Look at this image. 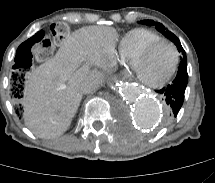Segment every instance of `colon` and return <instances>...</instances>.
<instances>
[{"mask_svg":"<svg viewBox=\"0 0 215 183\" xmlns=\"http://www.w3.org/2000/svg\"><path fill=\"white\" fill-rule=\"evenodd\" d=\"M69 36V26L64 22L54 23L51 27V36H47L42 29L33 32L32 38L23 43L22 49H15L16 57L7 62V70L11 76L12 91L10 98L20 103L25 98V76L29 73L34 61H45L54 52V40L64 41Z\"/></svg>","mask_w":215,"mask_h":183,"instance_id":"5ec220e1","label":"colon"}]
</instances>
